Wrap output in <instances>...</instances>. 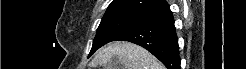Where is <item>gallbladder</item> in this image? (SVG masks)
<instances>
[{"instance_id":"bac80fb5","label":"gallbladder","mask_w":246,"mask_h":69,"mask_svg":"<svg viewBox=\"0 0 246 69\" xmlns=\"http://www.w3.org/2000/svg\"><path fill=\"white\" fill-rule=\"evenodd\" d=\"M119 66L117 63V57H114L109 64L105 67L106 69H118Z\"/></svg>"}]
</instances>
